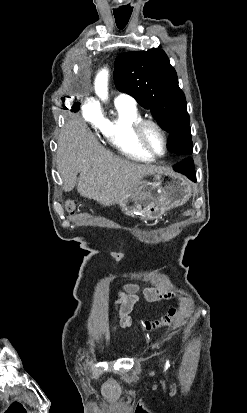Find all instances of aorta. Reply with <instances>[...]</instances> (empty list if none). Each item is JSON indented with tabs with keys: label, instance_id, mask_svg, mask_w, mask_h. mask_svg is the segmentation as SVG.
I'll return each instance as SVG.
<instances>
[{
	"label": "aorta",
	"instance_id": "obj_1",
	"mask_svg": "<svg viewBox=\"0 0 247 413\" xmlns=\"http://www.w3.org/2000/svg\"><path fill=\"white\" fill-rule=\"evenodd\" d=\"M108 77V70L103 69L99 72L95 80V92L103 101L108 99Z\"/></svg>",
	"mask_w": 247,
	"mask_h": 413
}]
</instances>
